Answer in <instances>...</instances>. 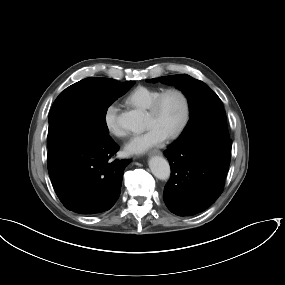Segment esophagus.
Listing matches in <instances>:
<instances>
[{
  "label": "esophagus",
  "instance_id": "esophagus-1",
  "mask_svg": "<svg viewBox=\"0 0 285 285\" xmlns=\"http://www.w3.org/2000/svg\"><path fill=\"white\" fill-rule=\"evenodd\" d=\"M149 154L150 155H162V152L158 149H154Z\"/></svg>",
  "mask_w": 285,
  "mask_h": 285
}]
</instances>
